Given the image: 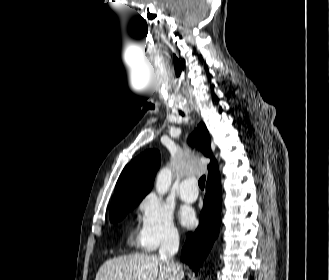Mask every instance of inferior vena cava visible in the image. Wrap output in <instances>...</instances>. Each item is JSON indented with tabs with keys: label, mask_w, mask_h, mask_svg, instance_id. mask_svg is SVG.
<instances>
[{
	"label": "inferior vena cava",
	"mask_w": 329,
	"mask_h": 280,
	"mask_svg": "<svg viewBox=\"0 0 329 280\" xmlns=\"http://www.w3.org/2000/svg\"><path fill=\"white\" fill-rule=\"evenodd\" d=\"M179 248V235L176 230H169L161 242L159 249L160 258L172 269L181 271V265L175 263L173 260L174 255L178 252Z\"/></svg>",
	"instance_id": "obj_1"
}]
</instances>
